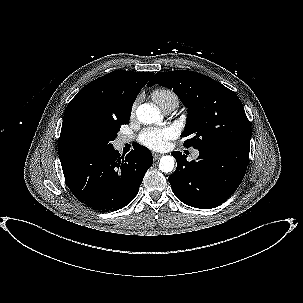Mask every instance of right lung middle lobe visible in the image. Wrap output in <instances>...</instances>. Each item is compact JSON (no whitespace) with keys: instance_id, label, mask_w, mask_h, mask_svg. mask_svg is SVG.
Returning <instances> with one entry per match:
<instances>
[{"instance_id":"1","label":"right lung middle lobe","mask_w":303,"mask_h":303,"mask_svg":"<svg viewBox=\"0 0 303 303\" xmlns=\"http://www.w3.org/2000/svg\"><path fill=\"white\" fill-rule=\"evenodd\" d=\"M121 123L106 121L89 111L76 113L64 135L65 146L77 156L111 149Z\"/></svg>"}]
</instances>
